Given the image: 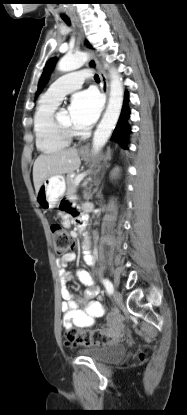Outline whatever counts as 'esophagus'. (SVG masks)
Listing matches in <instances>:
<instances>
[{"label":"esophagus","instance_id":"34e87169","mask_svg":"<svg viewBox=\"0 0 187 415\" xmlns=\"http://www.w3.org/2000/svg\"><path fill=\"white\" fill-rule=\"evenodd\" d=\"M78 28L81 31V26L79 24V21H75ZM82 34V32H81ZM87 66L91 69H96L99 73L100 76V80H101V89L102 92L106 95V98L108 99V94H109V83H108V78L106 73L102 70V68L100 67L99 63L97 62V60L95 58H93L92 56L89 58L88 62H87ZM87 146L82 147V150H86Z\"/></svg>","mask_w":187,"mask_h":415}]
</instances>
